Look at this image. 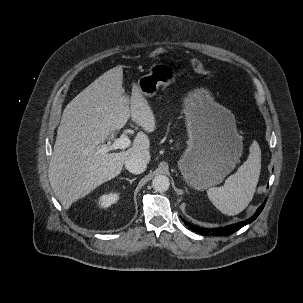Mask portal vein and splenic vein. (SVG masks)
Returning <instances> with one entry per match:
<instances>
[{
	"label": "portal vein and splenic vein",
	"instance_id": "portal-vein-and-splenic-vein-1",
	"mask_svg": "<svg viewBox=\"0 0 303 303\" xmlns=\"http://www.w3.org/2000/svg\"><path fill=\"white\" fill-rule=\"evenodd\" d=\"M131 141L127 136V133H123L120 138L114 140L113 144L108 146H103L98 149V153L104 154L109 151L117 150V149H126L130 146Z\"/></svg>",
	"mask_w": 303,
	"mask_h": 303
}]
</instances>
